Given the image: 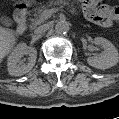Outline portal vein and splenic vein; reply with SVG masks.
I'll list each match as a JSON object with an SVG mask.
<instances>
[{
  "label": "portal vein and splenic vein",
  "mask_w": 119,
  "mask_h": 119,
  "mask_svg": "<svg viewBox=\"0 0 119 119\" xmlns=\"http://www.w3.org/2000/svg\"><path fill=\"white\" fill-rule=\"evenodd\" d=\"M57 11V8L46 9L42 12L41 17L43 19H48L52 16L53 13H56Z\"/></svg>",
  "instance_id": "18ae733b"
}]
</instances>
